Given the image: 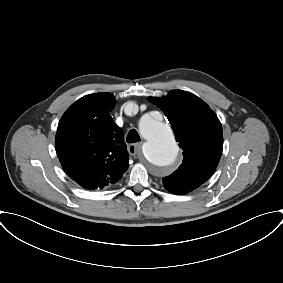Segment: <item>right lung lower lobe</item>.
Instances as JSON below:
<instances>
[{
  "label": "right lung lower lobe",
  "mask_w": 283,
  "mask_h": 283,
  "mask_svg": "<svg viewBox=\"0 0 283 283\" xmlns=\"http://www.w3.org/2000/svg\"><path fill=\"white\" fill-rule=\"evenodd\" d=\"M63 168L66 169V164H63Z\"/></svg>",
  "instance_id": "1"
}]
</instances>
